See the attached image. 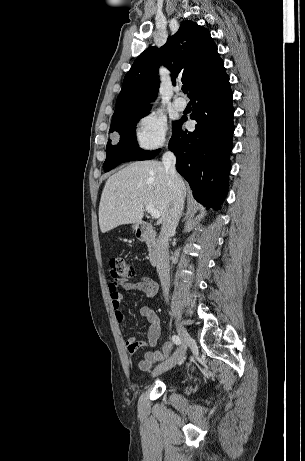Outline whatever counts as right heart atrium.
Listing matches in <instances>:
<instances>
[{"label":"right heart atrium","mask_w":305,"mask_h":461,"mask_svg":"<svg viewBox=\"0 0 305 461\" xmlns=\"http://www.w3.org/2000/svg\"><path fill=\"white\" fill-rule=\"evenodd\" d=\"M167 133V121L155 113H148L137 121L134 138L141 150L154 151L166 144Z\"/></svg>","instance_id":"right-heart-atrium-1"}]
</instances>
